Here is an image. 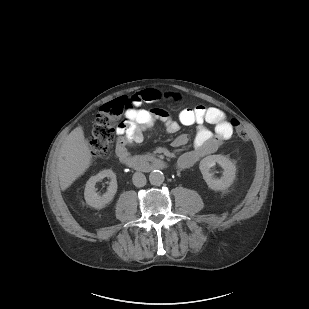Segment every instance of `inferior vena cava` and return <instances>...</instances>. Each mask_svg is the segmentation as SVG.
<instances>
[{
	"label": "inferior vena cava",
	"instance_id": "602c4592",
	"mask_svg": "<svg viewBox=\"0 0 309 309\" xmlns=\"http://www.w3.org/2000/svg\"><path fill=\"white\" fill-rule=\"evenodd\" d=\"M133 184L136 186V187H143L146 185V177L143 173L141 172H135L133 174Z\"/></svg>",
	"mask_w": 309,
	"mask_h": 309
}]
</instances>
